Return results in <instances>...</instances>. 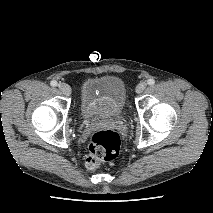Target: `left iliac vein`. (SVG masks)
Returning <instances> with one entry per match:
<instances>
[{"label": "left iliac vein", "mask_w": 213, "mask_h": 213, "mask_svg": "<svg viewBox=\"0 0 213 213\" xmlns=\"http://www.w3.org/2000/svg\"><path fill=\"white\" fill-rule=\"evenodd\" d=\"M146 86H147V83H146V82H140V83L136 86V92H137L138 94L142 93V92L145 90Z\"/></svg>", "instance_id": "obj_1"}]
</instances>
